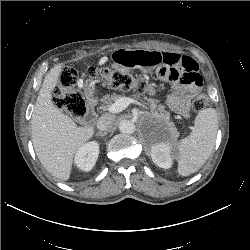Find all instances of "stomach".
Here are the masks:
<instances>
[{
  "instance_id": "stomach-1",
  "label": "stomach",
  "mask_w": 250,
  "mask_h": 250,
  "mask_svg": "<svg viewBox=\"0 0 250 250\" xmlns=\"http://www.w3.org/2000/svg\"><path fill=\"white\" fill-rule=\"evenodd\" d=\"M143 52H144V51H143ZM93 93H94V91H93L92 89H90V88H86V89H85V95H86L87 98L92 97V96H93Z\"/></svg>"
}]
</instances>
